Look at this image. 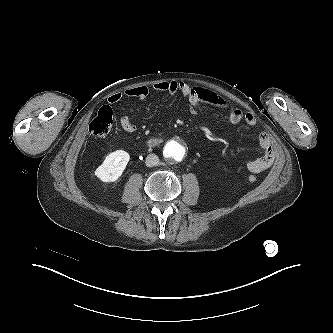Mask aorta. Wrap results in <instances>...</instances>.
Wrapping results in <instances>:
<instances>
[{
  "label": "aorta",
  "instance_id": "762f6f07",
  "mask_svg": "<svg viewBox=\"0 0 333 333\" xmlns=\"http://www.w3.org/2000/svg\"><path fill=\"white\" fill-rule=\"evenodd\" d=\"M185 149L179 142H169L164 148V156L169 160L181 161L184 157Z\"/></svg>",
  "mask_w": 333,
  "mask_h": 333
}]
</instances>
